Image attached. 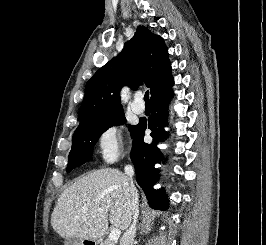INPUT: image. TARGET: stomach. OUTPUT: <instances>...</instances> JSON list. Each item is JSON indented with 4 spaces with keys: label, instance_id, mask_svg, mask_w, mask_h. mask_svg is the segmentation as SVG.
Segmentation results:
<instances>
[{
    "label": "stomach",
    "instance_id": "stomach-1",
    "mask_svg": "<svg viewBox=\"0 0 266 245\" xmlns=\"http://www.w3.org/2000/svg\"><path fill=\"white\" fill-rule=\"evenodd\" d=\"M90 241H88V245H89ZM73 245H86L85 241H75V243H73ZM93 245H97L96 241H93Z\"/></svg>",
    "mask_w": 266,
    "mask_h": 245
}]
</instances>
